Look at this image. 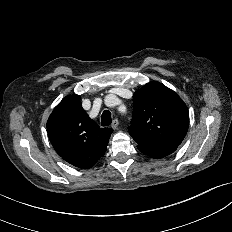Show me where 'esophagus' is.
Here are the masks:
<instances>
[{
  "label": "esophagus",
  "instance_id": "obj_1",
  "mask_svg": "<svg viewBox=\"0 0 232 232\" xmlns=\"http://www.w3.org/2000/svg\"><path fill=\"white\" fill-rule=\"evenodd\" d=\"M118 125H119L118 119H114V120L112 121L111 127H112L113 129H116V128L118 127Z\"/></svg>",
  "mask_w": 232,
  "mask_h": 232
}]
</instances>
